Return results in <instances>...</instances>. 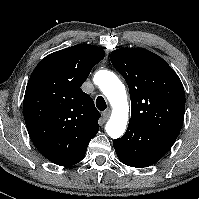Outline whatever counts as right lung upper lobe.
I'll use <instances>...</instances> for the list:
<instances>
[{"label": "right lung upper lobe", "mask_w": 199, "mask_h": 199, "mask_svg": "<svg viewBox=\"0 0 199 199\" xmlns=\"http://www.w3.org/2000/svg\"><path fill=\"white\" fill-rule=\"evenodd\" d=\"M105 56L102 48L78 44L43 58L28 81L23 113L29 136L51 162H80L99 130L101 116L80 88Z\"/></svg>", "instance_id": "1"}]
</instances>
